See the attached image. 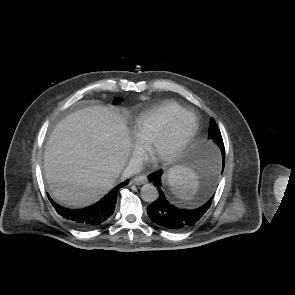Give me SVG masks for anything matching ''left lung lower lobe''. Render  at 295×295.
Returning a JSON list of instances; mask_svg holds the SVG:
<instances>
[{"label": "left lung lower lobe", "mask_w": 295, "mask_h": 295, "mask_svg": "<svg viewBox=\"0 0 295 295\" xmlns=\"http://www.w3.org/2000/svg\"><path fill=\"white\" fill-rule=\"evenodd\" d=\"M221 152L224 167L225 151L223 152L221 150ZM161 174L162 171L159 170L148 176V179L153 182V184L159 190L160 194L159 198L147 207L148 216L153 223L159 225L166 230L180 231L187 229L190 226L194 225L205 214V212L211 205L212 198L206 204L197 209L186 210L177 208L166 200L160 188Z\"/></svg>", "instance_id": "0a47b994"}]
</instances>
